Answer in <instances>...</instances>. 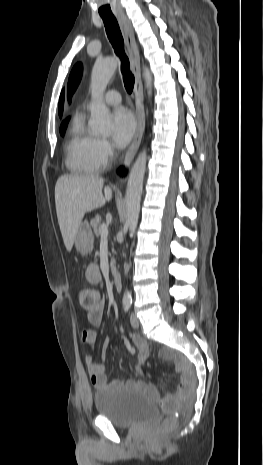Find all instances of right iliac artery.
I'll list each match as a JSON object with an SVG mask.
<instances>
[{
  "mask_svg": "<svg viewBox=\"0 0 263 465\" xmlns=\"http://www.w3.org/2000/svg\"><path fill=\"white\" fill-rule=\"evenodd\" d=\"M123 306H124L125 312H128V310H129L130 307H131V302H124V303H123Z\"/></svg>",
  "mask_w": 263,
  "mask_h": 465,
  "instance_id": "right-iliac-artery-1",
  "label": "right iliac artery"
}]
</instances>
